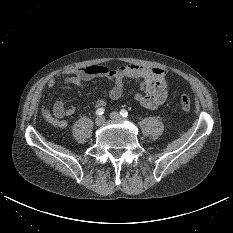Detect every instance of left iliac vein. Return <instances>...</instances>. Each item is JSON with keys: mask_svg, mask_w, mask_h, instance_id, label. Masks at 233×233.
Instances as JSON below:
<instances>
[{"mask_svg": "<svg viewBox=\"0 0 233 233\" xmlns=\"http://www.w3.org/2000/svg\"><path fill=\"white\" fill-rule=\"evenodd\" d=\"M110 118L112 120H123L124 119L118 112L110 113Z\"/></svg>", "mask_w": 233, "mask_h": 233, "instance_id": "1", "label": "left iliac vein"}]
</instances>
